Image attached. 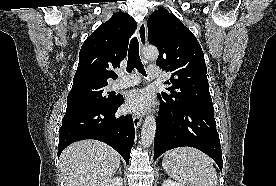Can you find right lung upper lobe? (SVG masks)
<instances>
[{"label":"right lung upper lobe","instance_id":"1","mask_svg":"<svg viewBox=\"0 0 276 186\" xmlns=\"http://www.w3.org/2000/svg\"><path fill=\"white\" fill-rule=\"evenodd\" d=\"M137 24L126 13H114L102 23L83 43L73 86L104 85L107 79H116L113 68L120 67L128 42Z\"/></svg>","mask_w":276,"mask_h":186}]
</instances>
